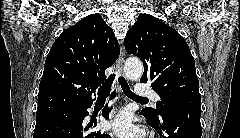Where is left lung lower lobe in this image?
<instances>
[{
  "instance_id": "1",
  "label": "left lung lower lobe",
  "mask_w": 240,
  "mask_h": 138,
  "mask_svg": "<svg viewBox=\"0 0 240 138\" xmlns=\"http://www.w3.org/2000/svg\"><path fill=\"white\" fill-rule=\"evenodd\" d=\"M152 126L164 138H200L202 128L201 100L186 98L166 103L158 117L150 116L142 110Z\"/></svg>"
}]
</instances>
